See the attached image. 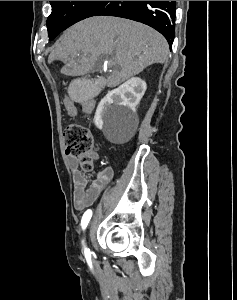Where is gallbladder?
<instances>
[{
  "label": "gallbladder",
  "mask_w": 237,
  "mask_h": 300,
  "mask_svg": "<svg viewBox=\"0 0 237 300\" xmlns=\"http://www.w3.org/2000/svg\"><path fill=\"white\" fill-rule=\"evenodd\" d=\"M96 82H90L89 76H75L67 89L71 99L76 101L77 105H82L85 99H92L93 94H101L103 88V78L97 76Z\"/></svg>",
  "instance_id": "bac80fb5"
}]
</instances>
